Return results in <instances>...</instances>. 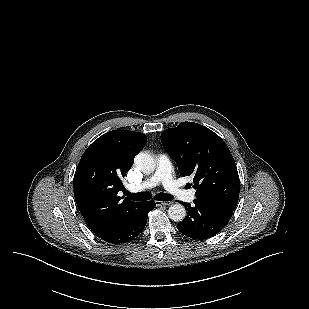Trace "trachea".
Instances as JSON below:
<instances>
[{"label": "trachea", "mask_w": 309, "mask_h": 309, "mask_svg": "<svg viewBox=\"0 0 309 309\" xmlns=\"http://www.w3.org/2000/svg\"><path fill=\"white\" fill-rule=\"evenodd\" d=\"M124 193L128 198H130L134 201H145V200L151 199V194L148 193V192H138V193H135V194H131V193L125 191ZM155 199L158 200V201H171L173 199V197L169 194L161 192V193H158L155 196Z\"/></svg>", "instance_id": "1"}]
</instances>
